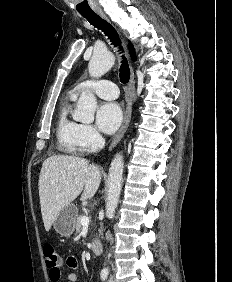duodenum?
Returning a JSON list of instances; mask_svg holds the SVG:
<instances>
[{
	"mask_svg": "<svg viewBox=\"0 0 232 282\" xmlns=\"http://www.w3.org/2000/svg\"><path fill=\"white\" fill-rule=\"evenodd\" d=\"M91 249L95 255H101L103 250L102 243L99 240H93L91 243Z\"/></svg>",
	"mask_w": 232,
	"mask_h": 282,
	"instance_id": "1",
	"label": "duodenum"
}]
</instances>
